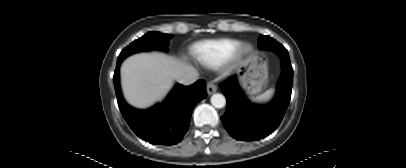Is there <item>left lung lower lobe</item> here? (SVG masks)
Masks as SVG:
<instances>
[{
  "instance_id": "1",
  "label": "left lung lower lobe",
  "mask_w": 406,
  "mask_h": 168,
  "mask_svg": "<svg viewBox=\"0 0 406 168\" xmlns=\"http://www.w3.org/2000/svg\"><path fill=\"white\" fill-rule=\"evenodd\" d=\"M280 55V54H279ZM282 75L274 99L266 105L252 104L241 90L237 77L231 76L220 85L227 99L221 121L237 140H259L271 134L280 124L291 98L293 70L289 54H281Z\"/></svg>"
}]
</instances>
